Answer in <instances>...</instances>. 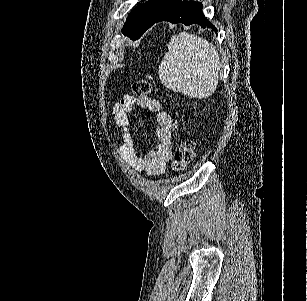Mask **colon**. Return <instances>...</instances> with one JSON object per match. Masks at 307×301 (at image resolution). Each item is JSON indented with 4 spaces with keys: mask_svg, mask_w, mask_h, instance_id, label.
I'll list each match as a JSON object with an SVG mask.
<instances>
[{
    "mask_svg": "<svg viewBox=\"0 0 307 301\" xmlns=\"http://www.w3.org/2000/svg\"><path fill=\"white\" fill-rule=\"evenodd\" d=\"M133 91L138 96H148L153 91V84L147 79H138L133 83ZM195 145L192 140H183L176 148L172 160L174 171L185 170L193 161Z\"/></svg>",
    "mask_w": 307,
    "mask_h": 301,
    "instance_id": "colon-1",
    "label": "colon"
}]
</instances>
